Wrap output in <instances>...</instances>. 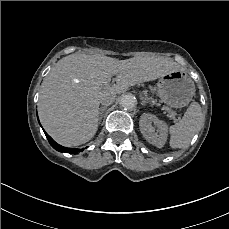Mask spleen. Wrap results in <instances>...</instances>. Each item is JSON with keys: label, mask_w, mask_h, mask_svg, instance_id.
Returning <instances> with one entry per match:
<instances>
[{"label": "spleen", "mask_w": 229, "mask_h": 229, "mask_svg": "<svg viewBox=\"0 0 229 229\" xmlns=\"http://www.w3.org/2000/svg\"><path fill=\"white\" fill-rule=\"evenodd\" d=\"M203 123L204 117L200 105L192 103L181 120L168 127L170 147L173 149L187 147Z\"/></svg>", "instance_id": "1"}]
</instances>
